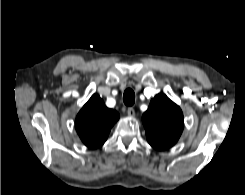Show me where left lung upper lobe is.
<instances>
[{"instance_id": "1", "label": "left lung upper lobe", "mask_w": 245, "mask_h": 195, "mask_svg": "<svg viewBox=\"0 0 245 195\" xmlns=\"http://www.w3.org/2000/svg\"><path fill=\"white\" fill-rule=\"evenodd\" d=\"M142 121L148 143L158 150L172 147L178 141L184 127L180 107L163 93L151 100Z\"/></svg>"}]
</instances>
